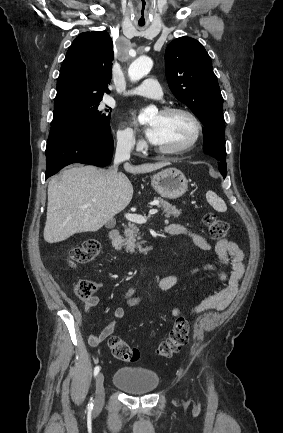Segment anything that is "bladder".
Masks as SVG:
<instances>
[{"mask_svg": "<svg viewBox=\"0 0 283 433\" xmlns=\"http://www.w3.org/2000/svg\"><path fill=\"white\" fill-rule=\"evenodd\" d=\"M113 382L125 392L149 393L158 386V374L140 366L120 367Z\"/></svg>", "mask_w": 283, "mask_h": 433, "instance_id": "bladder-1", "label": "bladder"}]
</instances>
